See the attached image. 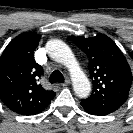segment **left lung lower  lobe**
Here are the masks:
<instances>
[{"label": "left lung lower lobe", "instance_id": "1", "mask_svg": "<svg viewBox=\"0 0 133 133\" xmlns=\"http://www.w3.org/2000/svg\"><path fill=\"white\" fill-rule=\"evenodd\" d=\"M81 106L83 107V109L89 113V114H94V115H98V116H105L110 114L111 112H107V111H103V110H99V109H95L93 107H90L88 105H86L85 103L81 102Z\"/></svg>", "mask_w": 133, "mask_h": 133}]
</instances>
